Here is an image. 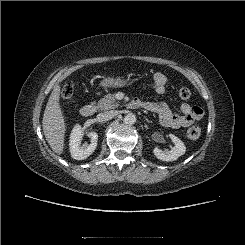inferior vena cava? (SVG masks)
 <instances>
[{"instance_id": "1", "label": "inferior vena cava", "mask_w": 245, "mask_h": 245, "mask_svg": "<svg viewBox=\"0 0 245 245\" xmlns=\"http://www.w3.org/2000/svg\"><path fill=\"white\" fill-rule=\"evenodd\" d=\"M116 114H117L116 111H105L103 113L98 114L97 119L100 122L108 121V120L112 119L113 117H115Z\"/></svg>"}]
</instances>
